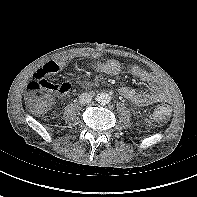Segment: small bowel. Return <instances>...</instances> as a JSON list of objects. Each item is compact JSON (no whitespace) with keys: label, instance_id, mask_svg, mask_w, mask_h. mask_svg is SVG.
<instances>
[{"label":"small bowel","instance_id":"small-bowel-1","mask_svg":"<svg viewBox=\"0 0 197 197\" xmlns=\"http://www.w3.org/2000/svg\"><path fill=\"white\" fill-rule=\"evenodd\" d=\"M100 55L99 52H94L91 54V57L99 58ZM67 66L68 62L65 60L49 61L35 71L34 78H42L47 75L56 74ZM96 71L106 75H117L121 72V64L115 59L99 61L96 64ZM130 72L140 81L146 83L149 86V90L146 92H138L128 86L121 87L119 93L127 100L137 106H146L156 102L170 101L172 99L169 86L161 76L137 65L131 66Z\"/></svg>","mask_w":197,"mask_h":197}]
</instances>
